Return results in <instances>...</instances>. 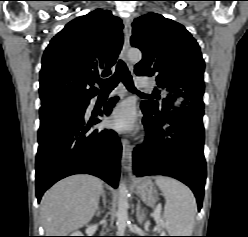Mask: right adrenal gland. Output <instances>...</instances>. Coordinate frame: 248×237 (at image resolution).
Returning a JSON list of instances; mask_svg holds the SVG:
<instances>
[{"instance_id":"1","label":"right adrenal gland","mask_w":248,"mask_h":237,"mask_svg":"<svg viewBox=\"0 0 248 237\" xmlns=\"http://www.w3.org/2000/svg\"><path fill=\"white\" fill-rule=\"evenodd\" d=\"M103 203H104V206L106 205V201H105V197L103 198ZM103 212V210H101L100 208H98L97 212H96V216H100L101 213Z\"/></svg>"}]
</instances>
